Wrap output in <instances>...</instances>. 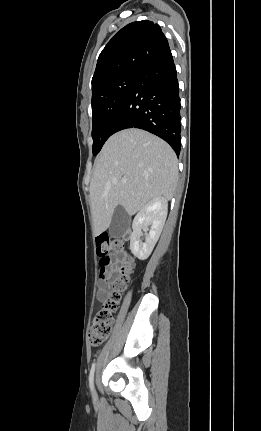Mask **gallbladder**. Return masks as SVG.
Returning <instances> with one entry per match:
<instances>
[{"label": "gallbladder", "mask_w": 261, "mask_h": 431, "mask_svg": "<svg viewBox=\"0 0 261 431\" xmlns=\"http://www.w3.org/2000/svg\"><path fill=\"white\" fill-rule=\"evenodd\" d=\"M130 217L125 209L119 205L116 207L111 223L109 226V233L113 237H120L125 234L129 227Z\"/></svg>", "instance_id": "gallbladder-1"}]
</instances>
